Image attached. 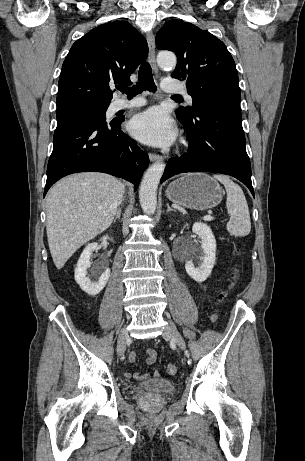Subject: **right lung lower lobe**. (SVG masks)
<instances>
[{
  "instance_id": "1",
  "label": "right lung lower lobe",
  "mask_w": 305,
  "mask_h": 461,
  "mask_svg": "<svg viewBox=\"0 0 305 461\" xmlns=\"http://www.w3.org/2000/svg\"><path fill=\"white\" fill-rule=\"evenodd\" d=\"M124 118L107 122L82 113L57 114L54 146L47 168L44 196L62 177L84 171L104 172L135 185L149 157L121 130Z\"/></svg>"
}]
</instances>
